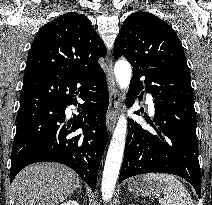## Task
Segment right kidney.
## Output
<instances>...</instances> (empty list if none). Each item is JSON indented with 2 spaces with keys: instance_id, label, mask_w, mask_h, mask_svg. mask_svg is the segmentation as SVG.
<instances>
[{
  "instance_id": "1",
  "label": "right kidney",
  "mask_w": 212,
  "mask_h": 205,
  "mask_svg": "<svg viewBox=\"0 0 212 205\" xmlns=\"http://www.w3.org/2000/svg\"><path fill=\"white\" fill-rule=\"evenodd\" d=\"M61 205H79L78 202L74 201V200H69L67 202H64L63 204Z\"/></svg>"
}]
</instances>
